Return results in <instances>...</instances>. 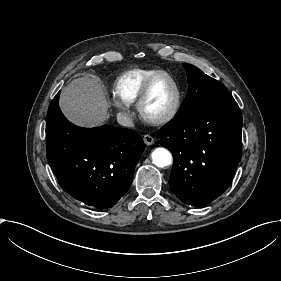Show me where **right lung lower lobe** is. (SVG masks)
Returning <instances> with one entry per match:
<instances>
[{
	"label": "right lung lower lobe",
	"instance_id": "98d812e1",
	"mask_svg": "<svg viewBox=\"0 0 281 281\" xmlns=\"http://www.w3.org/2000/svg\"><path fill=\"white\" fill-rule=\"evenodd\" d=\"M59 95L47 115L48 162L60 186L73 198L98 209L110 208L131 185L143 140L125 128L73 125L59 108Z\"/></svg>",
	"mask_w": 281,
	"mask_h": 281
}]
</instances>
